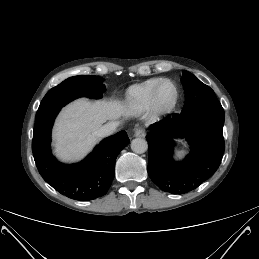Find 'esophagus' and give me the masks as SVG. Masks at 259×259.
<instances>
[{"label":"esophagus","instance_id":"1","mask_svg":"<svg viewBox=\"0 0 259 259\" xmlns=\"http://www.w3.org/2000/svg\"><path fill=\"white\" fill-rule=\"evenodd\" d=\"M145 135H146V132H145V130L142 129V128H136V129L134 130V136H135V137H141V138H143V137H145Z\"/></svg>","mask_w":259,"mask_h":259}]
</instances>
